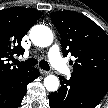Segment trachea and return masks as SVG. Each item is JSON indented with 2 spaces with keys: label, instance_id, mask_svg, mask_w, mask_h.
Returning <instances> with one entry per match:
<instances>
[{
  "label": "trachea",
  "instance_id": "obj_1",
  "mask_svg": "<svg viewBox=\"0 0 108 108\" xmlns=\"http://www.w3.org/2000/svg\"><path fill=\"white\" fill-rule=\"evenodd\" d=\"M16 63L19 64V65H23V66H27V67H32V66L37 65L38 61L35 58H29L28 60H26L24 62L16 61ZM39 66L43 70H47L48 71L50 69V66H49L48 62L45 61V60H41L39 62Z\"/></svg>",
  "mask_w": 108,
  "mask_h": 108
}]
</instances>
